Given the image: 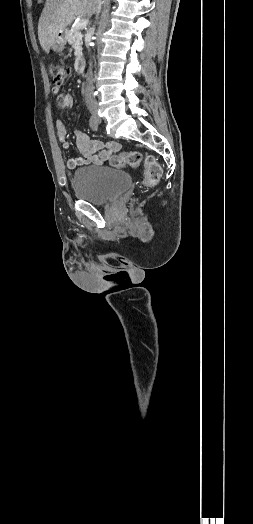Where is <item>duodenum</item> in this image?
<instances>
[{
  "mask_svg": "<svg viewBox=\"0 0 253 524\" xmlns=\"http://www.w3.org/2000/svg\"><path fill=\"white\" fill-rule=\"evenodd\" d=\"M75 71L78 73V74H81L83 73L84 71V61L82 58H78L76 61H75Z\"/></svg>",
  "mask_w": 253,
  "mask_h": 524,
  "instance_id": "1",
  "label": "duodenum"
}]
</instances>
